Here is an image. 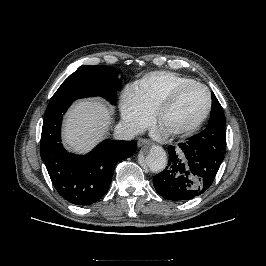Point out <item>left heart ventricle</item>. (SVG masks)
Returning a JSON list of instances; mask_svg holds the SVG:
<instances>
[{
    "label": "left heart ventricle",
    "mask_w": 266,
    "mask_h": 266,
    "mask_svg": "<svg viewBox=\"0 0 266 266\" xmlns=\"http://www.w3.org/2000/svg\"><path fill=\"white\" fill-rule=\"evenodd\" d=\"M206 106L205 91L199 87H189L163 112L159 125L164 130L186 126L195 121Z\"/></svg>",
    "instance_id": "obj_1"
}]
</instances>
